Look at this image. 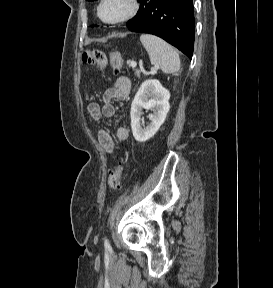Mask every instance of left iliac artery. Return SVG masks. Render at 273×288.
Segmentation results:
<instances>
[{"label": "left iliac artery", "instance_id": "obj_1", "mask_svg": "<svg viewBox=\"0 0 273 288\" xmlns=\"http://www.w3.org/2000/svg\"><path fill=\"white\" fill-rule=\"evenodd\" d=\"M104 245H105L106 248L110 247L109 241H108V239L106 237L104 238Z\"/></svg>", "mask_w": 273, "mask_h": 288}]
</instances>
